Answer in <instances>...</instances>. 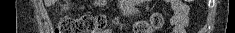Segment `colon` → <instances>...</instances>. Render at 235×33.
Segmentation results:
<instances>
[{"instance_id": "colon-1", "label": "colon", "mask_w": 235, "mask_h": 33, "mask_svg": "<svg viewBox=\"0 0 235 33\" xmlns=\"http://www.w3.org/2000/svg\"><path fill=\"white\" fill-rule=\"evenodd\" d=\"M164 24V16L161 13H154L149 22H139L134 28V33H152L160 29ZM107 25L103 15L86 14L77 18H63L55 33H102Z\"/></svg>"}]
</instances>
